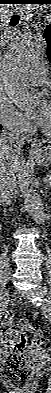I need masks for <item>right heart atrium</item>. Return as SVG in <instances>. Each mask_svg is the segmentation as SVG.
Returning <instances> with one entry per match:
<instances>
[{
	"label": "right heart atrium",
	"instance_id": "1",
	"mask_svg": "<svg viewBox=\"0 0 51 393\" xmlns=\"http://www.w3.org/2000/svg\"><path fill=\"white\" fill-rule=\"evenodd\" d=\"M0 121L5 130L17 135H25L32 130L30 123L6 101L0 102Z\"/></svg>",
	"mask_w": 51,
	"mask_h": 393
}]
</instances>
